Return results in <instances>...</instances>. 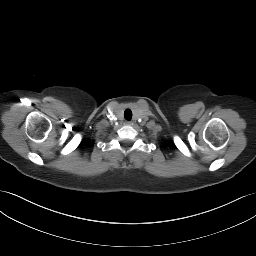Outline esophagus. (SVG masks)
Instances as JSON below:
<instances>
[{"label": "esophagus", "mask_w": 256, "mask_h": 256, "mask_svg": "<svg viewBox=\"0 0 256 256\" xmlns=\"http://www.w3.org/2000/svg\"><path fill=\"white\" fill-rule=\"evenodd\" d=\"M126 124H127V125H131L132 122H131V121H126Z\"/></svg>", "instance_id": "esophagus-1"}]
</instances>
